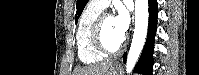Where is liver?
<instances>
[{"label": "liver", "instance_id": "1", "mask_svg": "<svg viewBox=\"0 0 199 75\" xmlns=\"http://www.w3.org/2000/svg\"><path fill=\"white\" fill-rule=\"evenodd\" d=\"M110 64H97L79 68L74 71V75H109Z\"/></svg>", "mask_w": 199, "mask_h": 75}]
</instances>
